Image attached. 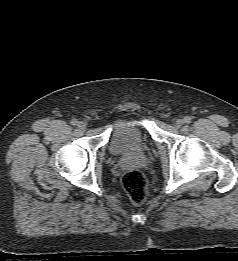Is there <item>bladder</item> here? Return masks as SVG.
<instances>
[{
  "label": "bladder",
  "mask_w": 238,
  "mask_h": 261,
  "mask_svg": "<svg viewBox=\"0 0 238 261\" xmlns=\"http://www.w3.org/2000/svg\"><path fill=\"white\" fill-rule=\"evenodd\" d=\"M148 146L144 133L132 122L120 120L113 125L108 141V150L112 155L139 154Z\"/></svg>",
  "instance_id": "bladder-1"
}]
</instances>
